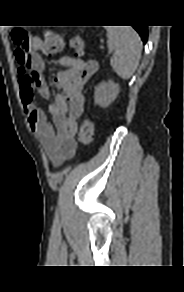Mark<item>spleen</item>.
Instances as JSON below:
<instances>
[{
	"label": "spleen",
	"instance_id": "3e777b00",
	"mask_svg": "<svg viewBox=\"0 0 184 292\" xmlns=\"http://www.w3.org/2000/svg\"><path fill=\"white\" fill-rule=\"evenodd\" d=\"M107 45L113 51L110 64L122 79H129L136 71L142 50L139 35L132 27H107Z\"/></svg>",
	"mask_w": 184,
	"mask_h": 292
}]
</instances>
